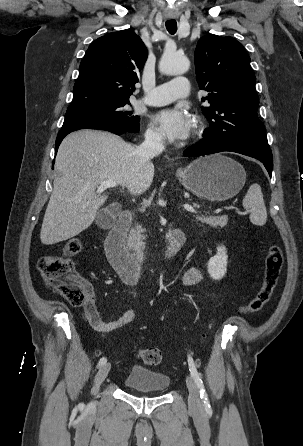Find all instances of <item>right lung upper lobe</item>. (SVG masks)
<instances>
[{
  "instance_id": "1",
  "label": "right lung upper lobe",
  "mask_w": 303,
  "mask_h": 446,
  "mask_svg": "<svg viewBox=\"0 0 303 446\" xmlns=\"http://www.w3.org/2000/svg\"><path fill=\"white\" fill-rule=\"evenodd\" d=\"M147 55L141 38L130 30L95 40L80 63L73 101L67 110L129 101Z\"/></svg>"
}]
</instances>
